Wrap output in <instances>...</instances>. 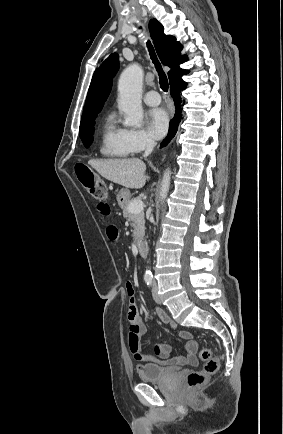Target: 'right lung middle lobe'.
Listing matches in <instances>:
<instances>
[{"mask_svg": "<svg viewBox=\"0 0 283 434\" xmlns=\"http://www.w3.org/2000/svg\"><path fill=\"white\" fill-rule=\"evenodd\" d=\"M95 121L80 125L79 135L85 147H89L93 140Z\"/></svg>", "mask_w": 283, "mask_h": 434, "instance_id": "obj_1", "label": "right lung middle lobe"}]
</instances>
